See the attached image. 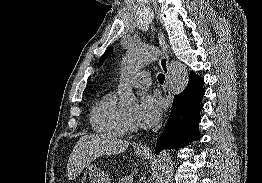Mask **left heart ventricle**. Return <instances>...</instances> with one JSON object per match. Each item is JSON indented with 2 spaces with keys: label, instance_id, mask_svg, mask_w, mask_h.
Masks as SVG:
<instances>
[{
  "label": "left heart ventricle",
  "instance_id": "b2bd125f",
  "mask_svg": "<svg viewBox=\"0 0 262 183\" xmlns=\"http://www.w3.org/2000/svg\"><path fill=\"white\" fill-rule=\"evenodd\" d=\"M137 110L131 111L129 113H127L126 115L135 122L136 120V116H137Z\"/></svg>",
  "mask_w": 262,
  "mask_h": 183
}]
</instances>
